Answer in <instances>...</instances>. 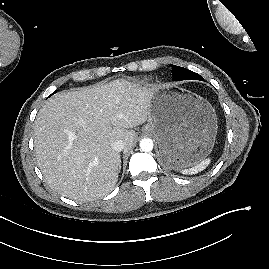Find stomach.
Listing matches in <instances>:
<instances>
[{
  "mask_svg": "<svg viewBox=\"0 0 269 269\" xmlns=\"http://www.w3.org/2000/svg\"><path fill=\"white\" fill-rule=\"evenodd\" d=\"M217 128V115L206 99L169 85L155 87L143 132L156 138L166 169H185L205 158Z\"/></svg>",
  "mask_w": 269,
  "mask_h": 269,
  "instance_id": "obj_1",
  "label": "stomach"
}]
</instances>
